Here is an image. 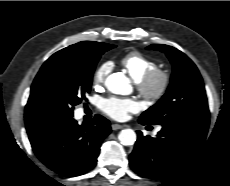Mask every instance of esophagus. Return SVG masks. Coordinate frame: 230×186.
<instances>
[{
	"mask_svg": "<svg viewBox=\"0 0 230 186\" xmlns=\"http://www.w3.org/2000/svg\"><path fill=\"white\" fill-rule=\"evenodd\" d=\"M112 130H119L122 129L124 126L120 124H112Z\"/></svg>",
	"mask_w": 230,
	"mask_h": 186,
	"instance_id": "obj_1",
	"label": "esophagus"
}]
</instances>
